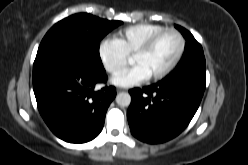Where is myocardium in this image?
Segmentation results:
<instances>
[{"label":"myocardium","mask_w":248,"mask_h":165,"mask_svg":"<svg viewBox=\"0 0 248 165\" xmlns=\"http://www.w3.org/2000/svg\"><path fill=\"white\" fill-rule=\"evenodd\" d=\"M166 33H173L176 35L179 41V48L173 60L162 71L150 77L151 81H158V80L163 79L169 73H171L173 69L178 65L185 51V39L183 35L175 28H164L154 33L153 35H151L133 53V56L147 53L154 46V44Z\"/></svg>","instance_id":"f54148a6"}]
</instances>
